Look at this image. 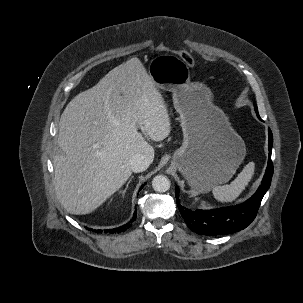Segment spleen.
I'll use <instances>...</instances> for the list:
<instances>
[{
  "mask_svg": "<svg viewBox=\"0 0 303 303\" xmlns=\"http://www.w3.org/2000/svg\"><path fill=\"white\" fill-rule=\"evenodd\" d=\"M255 164L249 162L229 185L213 188V196L220 202H233L246 188L254 174Z\"/></svg>",
  "mask_w": 303,
  "mask_h": 303,
  "instance_id": "spleen-1",
  "label": "spleen"
}]
</instances>
